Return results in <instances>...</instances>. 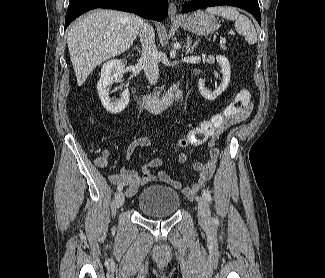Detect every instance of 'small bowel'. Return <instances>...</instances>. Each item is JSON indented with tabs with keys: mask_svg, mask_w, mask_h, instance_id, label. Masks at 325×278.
<instances>
[{
	"mask_svg": "<svg viewBox=\"0 0 325 278\" xmlns=\"http://www.w3.org/2000/svg\"><path fill=\"white\" fill-rule=\"evenodd\" d=\"M250 110L251 108L249 107L247 110L241 112L236 118L230 120L228 124L246 119L248 114L250 113ZM217 132L213 136H211V138H209L208 159L206 161H197L193 164V170L198 175L196 180L191 186L183 188V192L186 193L187 195L190 196L194 195L211 178V176L213 175L216 169L217 162L219 159V148L215 143ZM192 133H193V129L190 130L185 135V137H189ZM149 145H150L149 140L145 138H138L134 140L128 148V159L130 158L131 154L134 152V150L137 147H148ZM111 158H112L111 152L106 149L103 150L101 155L95 159V163L99 168H104L108 165ZM178 160L180 163H188L191 160V156L188 153H181L178 156ZM162 165H163L162 159L160 158L152 159L142 166V175H138L133 170L122 168L119 173L110 176V181L113 184L125 185L127 187L126 189L127 197L134 196L141 186L147 185L153 181H162L177 188L181 187V184L179 182L171 179L168 175L164 174L159 170V168Z\"/></svg>",
	"mask_w": 325,
	"mask_h": 278,
	"instance_id": "1",
	"label": "small bowel"
}]
</instances>
